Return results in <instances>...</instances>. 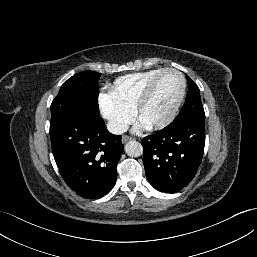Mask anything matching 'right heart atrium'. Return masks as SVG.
<instances>
[{"mask_svg": "<svg viewBox=\"0 0 257 257\" xmlns=\"http://www.w3.org/2000/svg\"><path fill=\"white\" fill-rule=\"evenodd\" d=\"M99 105L101 114L107 120L111 131L115 134L124 132L133 119V110L117 103L108 94L100 95Z\"/></svg>", "mask_w": 257, "mask_h": 257, "instance_id": "obj_1", "label": "right heart atrium"}]
</instances>
